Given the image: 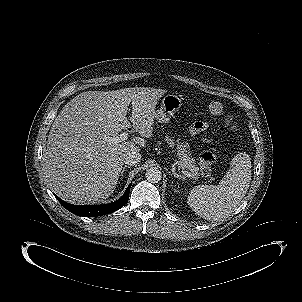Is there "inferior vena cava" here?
Segmentation results:
<instances>
[{"mask_svg": "<svg viewBox=\"0 0 302 302\" xmlns=\"http://www.w3.org/2000/svg\"><path fill=\"white\" fill-rule=\"evenodd\" d=\"M141 160V154L138 151H129L124 156V163L128 166H134Z\"/></svg>", "mask_w": 302, "mask_h": 302, "instance_id": "inferior-vena-cava-1", "label": "inferior vena cava"}]
</instances>
